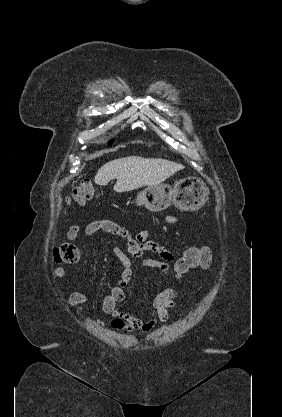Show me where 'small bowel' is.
Instances as JSON below:
<instances>
[{
	"mask_svg": "<svg viewBox=\"0 0 282 417\" xmlns=\"http://www.w3.org/2000/svg\"><path fill=\"white\" fill-rule=\"evenodd\" d=\"M179 221L176 215H166L164 222L174 225ZM81 232V227L73 224L67 231V238L75 240ZM86 235H93L98 232L118 236L127 240V252L119 246L113 249L114 255L123 267L121 276L117 284L103 299L104 311L110 315L113 320L111 327L114 330H124L129 333H139L146 335L150 333L157 323L166 322L169 318V309L174 306L175 300L181 297V293L174 289H164L159 292L152 302L151 316L142 320L132 314L124 312L118 307L124 299V288L133 278L132 258H141V265L146 268L158 269L165 273H171L174 270L171 263L174 262V255L171 250L155 241L150 240V231L142 230L135 235H131L122 225L110 219L94 220L87 224L84 229ZM152 252L157 254L161 260L151 257L143 258L144 253ZM54 278H71L70 270L63 267H56L52 271ZM87 295L82 292H72L68 297V304L72 307L83 304L87 301Z\"/></svg>",
	"mask_w": 282,
	"mask_h": 417,
	"instance_id": "1",
	"label": "small bowel"
}]
</instances>
